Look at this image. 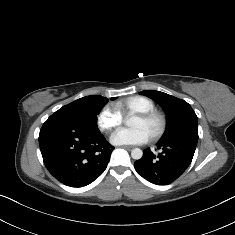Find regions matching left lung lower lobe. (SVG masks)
<instances>
[{"mask_svg": "<svg viewBox=\"0 0 235 235\" xmlns=\"http://www.w3.org/2000/svg\"><path fill=\"white\" fill-rule=\"evenodd\" d=\"M161 150L157 156L150 149L143 151L134 167L139 175L154 184H168L178 178L190 165L195 145L183 141L158 142Z\"/></svg>", "mask_w": 235, "mask_h": 235, "instance_id": "0a47b994", "label": "left lung lower lobe"}]
</instances>
